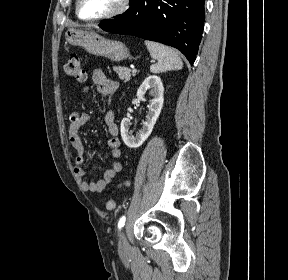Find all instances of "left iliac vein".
<instances>
[{
	"label": "left iliac vein",
	"instance_id": "4c4485c4",
	"mask_svg": "<svg viewBox=\"0 0 288 280\" xmlns=\"http://www.w3.org/2000/svg\"><path fill=\"white\" fill-rule=\"evenodd\" d=\"M128 247V242H127V239L125 237V234L124 232H120L119 234V248L124 250Z\"/></svg>",
	"mask_w": 288,
	"mask_h": 280
}]
</instances>
